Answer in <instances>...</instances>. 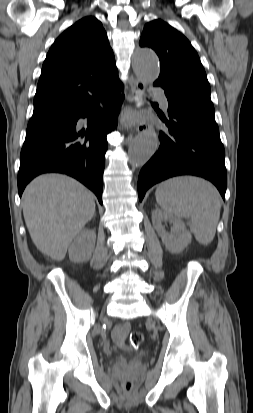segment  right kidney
<instances>
[{
	"label": "right kidney",
	"mask_w": 253,
	"mask_h": 413,
	"mask_svg": "<svg viewBox=\"0 0 253 413\" xmlns=\"http://www.w3.org/2000/svg\"><path fill=\"white\" fill-rule=\"evenodd\" d=\"M95 242L96 233L94 230L80 231L69 247V259L75 263L87 262L92 256Z\"/></svg>",
	"instance_id": "ca27d5eb"
}]
</instances>
